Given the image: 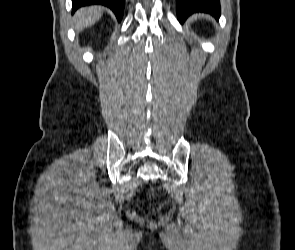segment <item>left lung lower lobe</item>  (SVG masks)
Returning <instances> with one entry per match:
<instances>
[{
  "label": "left lung lower lobe",
  "instance_id": "0a47b994",
  "mask_svg": "<svg viewBox=\"0 0 295 250\" xmlns=\"http://www.w3.org/2000/svg\"><path fill=\"white\" fill-rule=\"evenodd\" d=\"M178 20L182 23L195 12L209 13L215 18L220 16L219 0H176Z\"/></svg>",
  "mask_w": 295,
  "mask_h": 250
}]
</instances>
